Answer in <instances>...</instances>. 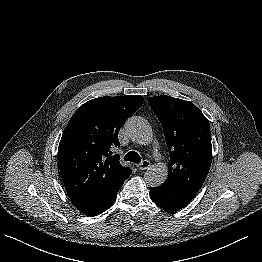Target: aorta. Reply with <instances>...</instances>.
Masks as SVG:
<instances>
[{
    "label": "aorta",
    "mask_w": 262,
    "mask_h": 262,
    "mask_svg": "<svg viewBox=\"0 0 262 262\" xmlns=\"http://www.w3.org/2000/svg\"><path fill=\"white\" fill-rule=\"evenodd\" d=\"M129 138L138 144H149L153 139L152 128L142 117L134 116L125 123ZM168 177V168L164 164H155L147 169L144 180L151 187L161 186Z\"/></svg>",
    "instance_id": "1"
}]
</instances>
